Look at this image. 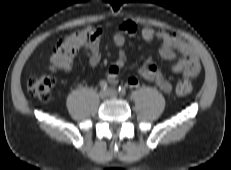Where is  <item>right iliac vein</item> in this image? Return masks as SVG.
Masks as SVG:
<instances>
[{
    "mask_svg": "<svg viewBox=\"0 0 231 170\" xmlns=\"http://www.w3.org/2000/svg\"><path fill=\"white\" fill-rule=\"evenodd\" d=\"M109 96L108 91L107 90H101L99 92V97L102 99H106Z\"/></svg>",
    "mask_w": 231,
    "mask_h": 170,
    "instance_id": "obj_1",
    "label": "right iliac vein"
}]
</instances>
